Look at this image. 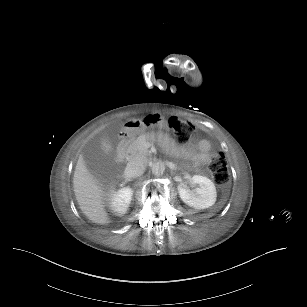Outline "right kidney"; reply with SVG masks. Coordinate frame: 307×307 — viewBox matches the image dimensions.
I'll list each match as a JSON object with an SVG mask.
<instances>
[{
  "label": "right kidney",
  "instance_id": "obj_1",
  "mask_svg": "<svg viewBox=\"0 0 307 307\" xmlns=\"http://www.w3.org/2000/svg\"><path fill=\"white\" fill-rule=\"evenodd\" d=\"M132 190L130 188H122L113 195L111 200V209L118 215L126 213L132 197Z\"/></svg>",
  "mask_w": 307,
  "mask_h": 307
}]
</instances>
